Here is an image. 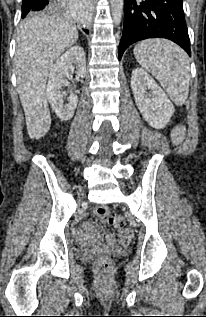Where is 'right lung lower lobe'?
<instances>
[{"label": "right lung lower lobe", "instance_id": "obj_1", "mask_svg": "<svg viewBox=\"0 0 206 317\" xmlns=\"http://www.w3.org/2000/svg\"><path fill=\"white\" fill-rule=\"evenodd\" d=\"M55 0H24L23 4L29 6L31 12H47L54 9ZM88 33V30H86Z\"/></svg>", "mask_w": 206, "mask_h": 317}]
</instances>
